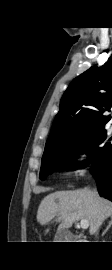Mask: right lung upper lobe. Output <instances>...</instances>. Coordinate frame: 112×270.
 <instances>
[{
    "label": "right lung upper lobe",
    "instance_id": "right-lung-upper-lobe-1",
    "mask_svg": "<svg viewBox=\"0 0 112 270\" xmlns=\"http://www.w3.org/2000/svg\"><path fill=\"white\" fill-rule=\"evenodd\" d=\"M112 109V55L101 67H91L76 77L60 102L46 146L66 143L103 128Z\"/></svg>",
    "mask_w": 112,
    "mask_h": 270
}]
</instances>
